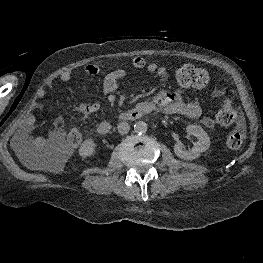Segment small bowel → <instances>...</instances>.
I'll use <instances>...</instances> for the list:
<instances>
[{
    "label": "small bowel",
    "mask_w": 263,
    "mask_h": 263,
    "mask_svg": "<svg viewBox=\"0 0 263 263\" xmlns=\"http://www.w3.org/2000/svg\"><path fill=\"white\" fill-rule=\"evenodd\" d=\"M132 66L136 70H142L151 74L154 78H164L168 75V69L165 66L159 65L156 62H147L142 57H136L132 61ZM84 71L89 75H98L100 73V67L96 64H87L84 66ZM128 76V71L125 69H115L105 75L102 82V91L104 94H110L118 87L120 80ZM61 82H69L72 78L70 72H63L59 75ZM45 91L43 89L38 90L37 97L43 98ZM152 110L161 111L166 114H180L190 118H200L202 115V109L197 101H186L179 93L162 91L154 99L148 101ZM101 107L100 102H94L91 104L79 103L76 105V109L89 115L97 112ZM202 123L207 127L213 126V121L209 117L202 118ZM35 124V118L30 115L25 120V125L21 137L30 142L34 147L39 149H48L61 144L64 139L65 131L59 122L55 123L54 128L49 133L48 137H29V132L33 129Z\"/></svg>",
    "instance_id": "small-bowel-1"
}]
</instances>
